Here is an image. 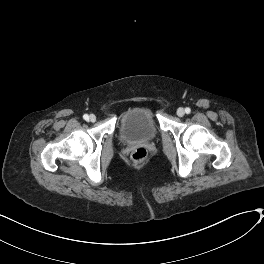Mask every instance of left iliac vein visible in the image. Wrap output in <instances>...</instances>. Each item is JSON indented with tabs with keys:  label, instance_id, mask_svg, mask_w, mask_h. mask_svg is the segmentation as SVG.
<instances>
[{
	"label": "left iliac vein",
	"instance_id": "4c4485c4",
	"mask_svg": "<svg viewBox=\"0 0 264 264\" xmlns=\"http://www.w3.org/2000/svg\"><path fill=\"white\" fill-rule=\"evenodd\" d=\"M177 115L183 117L185 115V110L183 108H178Z\"/></svg>",
	"mask_w": 264,
	"mask_h": 264
}]
</instances>
